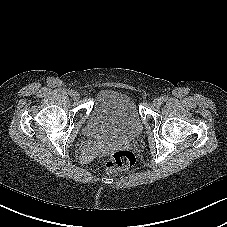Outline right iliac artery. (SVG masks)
<instances>
[{
    "label": "right iliac artery",
    "instance_id": "82829eb1",
    "mask_svg": "<svg viewBox=\"0 0 227 227\" xmlns=\"http://www.w3.org/2000/svg\"><path fill=\"white\" fill-rule=\"evenodd\" d=\"M74 93H75V92H74L73 90H70V91H69V95H70V96H73Z\"/></svg>",
    "mask_w": 227,
    "mask_h": 227
}]
</instances>
